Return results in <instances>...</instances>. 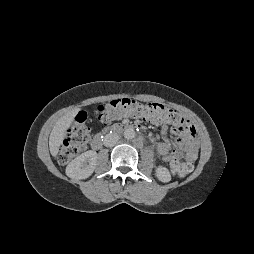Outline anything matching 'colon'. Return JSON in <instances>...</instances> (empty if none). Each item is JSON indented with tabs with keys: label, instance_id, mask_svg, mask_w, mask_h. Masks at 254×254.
<instances>
[{
	"label": "colon",
	"instance_id": "colon-1",
	"mask_svg": "<svg viewBox=\"0 0 254 254\" xmlns=\"http://www.w3.org/2000/svg\"><path fill=\"white\" fill-rule=\"evenodd\" d=\"M124 116L170 124L179 122L178 113L175 110L157 102L141 103L124 98L113 100L98 108V118L104 124ZM90 137L91 129L87 123V117L79 114L69 127L61 145L59 163L66 164L79 155L86 148ZM170 167L174 175L186 177L192 171L193 164L187 160H174Z\"/></svg>",
	"mask_w": 254,
	"mask_h": 254
}]
</instances>
